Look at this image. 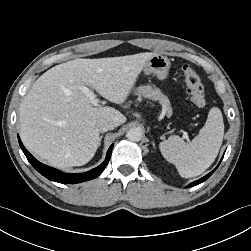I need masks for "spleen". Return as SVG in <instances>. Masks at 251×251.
<instances>
[{
    "label": "spleen",
    "instance_id": "spleen-1",
    "mask_svg": "<svg viewBox=\"0 0 251 251\" xmlns=\"http://www.w3.org/2000/svg\"><path fill=\"white\" fill-rule=\"evenodd\" d=\"M224 123L222 112L213 107L199 134L189 143L179 136H170L159 144L163 157L174 164L184 178L202 174L214 162L222 145Z\"/></svg>",
    "mask_w": 251,
    "mask_h": 251
}]
</instances>
